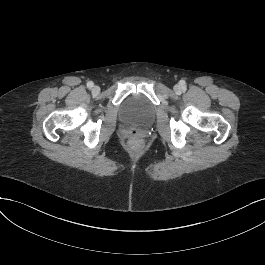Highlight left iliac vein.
<instances>
[{
    "label": "left iliac vein",
    "mask_w": 265,
    "mask_h": 265,
    "mask_svg": "<svg viewBox=\"0 0 265 265\" xmlns=\"http://www.w3.org/2000/svg\"><path fill=\"white\" fill-rule=\"evenodd\" d=\"M181 86L180 85H175L174 86V91L176 92V93H180L181 92Z\"/></svg>",
    "instance_id": "obj_1"
}]
</instances>
